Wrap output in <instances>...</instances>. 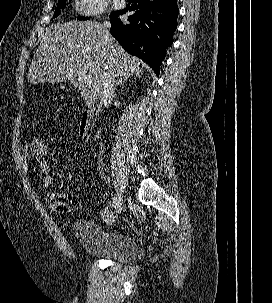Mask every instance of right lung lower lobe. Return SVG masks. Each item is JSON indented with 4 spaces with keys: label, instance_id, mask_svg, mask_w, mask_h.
I'll use <instances>...</instances> for the list:
<instances>
[{
    "label": "right lung lower lobe",
    "instance_id": "1",
    "mask_svg": "<svg viewBox=\"0 0 272 303\" xmlns=\"http://www.w3.org/2000/svg\"><path fill=\"white\" fill-rule=\"evenodd\" d=\"M135 11L127 21L118 15ZM177 0H136L110 16L112 36L129 53L141 58L159 75L166 48L177 28Z\"/></svg>",
    "mask_w": 272,
    "mask_h": 303
}]
</instances>
